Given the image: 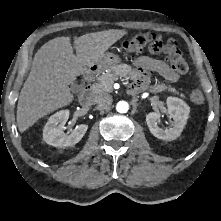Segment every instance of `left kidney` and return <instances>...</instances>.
Here are the masks:
<instances>
[{"label":"left kidney","mask_w":221,"mask_h":221,"mask_svg":"<svg viewBox=\"0 0 221 221\" xmlns=\"http://www.w3.org/2000/svg\"><path fill=\"white\" fill-rule=\"evenodd\" d=\"M190 108L181 99L175 97H169L167 99V113L173 118L175 124L167 129H162L158 126L157 121L160 119V113L150 112L146 115V122L150 132L157 138L171 141L180 136L184 129Z\"/></svg>","instance_id":"1"}]
</instances>
